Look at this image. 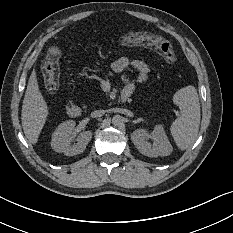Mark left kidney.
<instances>
[{
	"label": "left kidney",
	"instance_id": "5707ae66",
	"mask_svg": "<svg viewBox=\"0 0 233 233\" xmlns=\"http://www.w3.org/2000/svg\"><path fill=\"white\" fill-rule=\"evenodd\" d=\"M131 138L136 148L145 156H167L173 151V147L162 124H155L153 132L150 135L144 129H137L132 133ZM148 138H152L154 145L145 140Z\"/></svg>",
	"mask_w": 233,
	"mask_h": 233
}]
</instances>
